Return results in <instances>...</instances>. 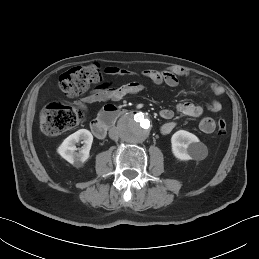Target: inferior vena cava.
Segmentation results:
<instances>
[{
	"mask_svg": "<svg viewBox=\"0 0 259 259\" xmlns=\"http://www.w3.org/2000/svg\"><path fill=\"white\" fill-rule=\"evenodd\" d=\"M109 137L113 140L118 139L119 137V131L117 128H111L109 131Z\"/></svg>",
	"mask_w": 259,
	"mask_h": 259,
	"instance_id": "obj_1",
	"label": "inferior vena cava"
}]
</instances>
